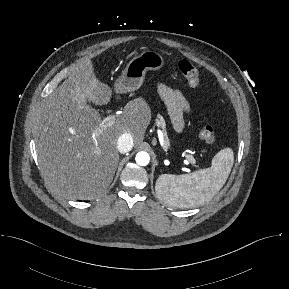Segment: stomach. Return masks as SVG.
Instances as JSON below:
<instances>
[{
    "instance_id": "0dacf381",
    "label": "stomach",
    "mask_w": 289,
    "mask_h": 289,
    "mask_svg": "<svg viewBox=\"0 0 289 289\" xmlns=\"http://www.w3.org/2000/svg\"><path fill=\"white\" fill-rule=\"evenodd\" d=\"M164 66V58L153 50H144L133 57L114 87L117 93H127L138 89L144 81L148 71H158Z\"/></svg>"
}]
</instances>
